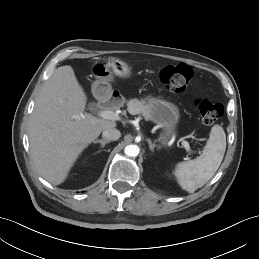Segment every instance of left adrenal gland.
Returning <instances> with one entry per match:
<instances>
[{
	"instance_id": "a2214340",
	"label": "left adrenal gland",
	"mask_w": 259,
	"mask_h": 259,
	"mask_svg": "<svg viewBox=\"0 0 259 259\" xmlns=\"http://www.w3.org/2000/svg\"><path fill=\"white\" fill-rule=\"evenodd\" d=\"M147 142L149 144V149L154 152V148L156 147V145L154 143H152V141L150 139H147Z\"/></svg>"
}]
</instances>
